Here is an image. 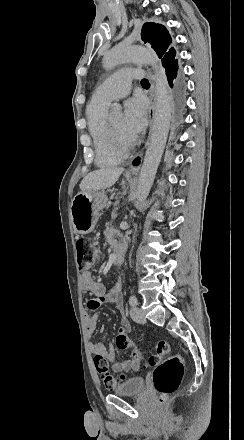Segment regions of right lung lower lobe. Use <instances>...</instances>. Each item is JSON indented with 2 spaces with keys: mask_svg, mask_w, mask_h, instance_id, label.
Returning <instances> with one entry per match:
<instances>
[{
  "mask_svg": "<svg viewBox=\"0 0 244 440\" xmlns=\"http://www.w3.org/2000/svg\"><path fill=\"white\" fill-rule=\"evenodd\" d=\"M140 163V159L139 158H137V159H135V161H134V165H138Z\"/></svg>",
  "mask_w": 244,
  "mask_h": 440,
  "instance_id": "right-lung-lower-lobe-1",
  "label": "right lung lower lobe"
}]
</instances>
